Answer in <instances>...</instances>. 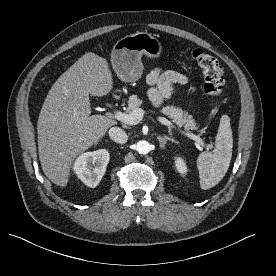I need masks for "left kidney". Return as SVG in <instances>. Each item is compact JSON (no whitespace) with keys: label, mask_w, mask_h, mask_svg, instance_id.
I'll return each instance as SVG.
<instances>
[{"label":"left kidney","mask_w":276,"mask_h":276,"mask_svg":"<svg viewBox=\"0 0 276 276\" xmlns=\"http://www.w3.org/2000/svg\"><path fill=\"white\" fill-rule=\"evenodd\" d=\"M174 160H175V166L178 172L181 174H186L188 170L184 159L182 157L177 156L174 158Z\"/></svg>","instance_id":"obj_1"}]
</instances>
